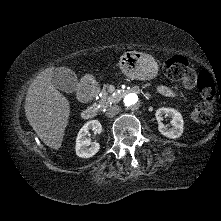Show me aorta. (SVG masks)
Returning <instances> with one entry per match:
<instances>
[{
	"mask_svg": "<svg viewBox=\"0 0 221 221\" xmlns=\"http://www.w3.org/2000/svg\"><path fill=\"white\" fill-rule=\"evenodd\" d=\"M124 104L128 108H136L139 104V97L136 93H129L124 97Z\"/></svg>",
	"mask_w": 221,
	"mask_h": 221,
	"instance_id": "aorta-1",
	"label": "aorta"
}]
</instances>
